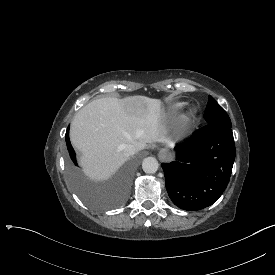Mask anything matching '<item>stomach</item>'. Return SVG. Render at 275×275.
I'll return each mask as SVG.
<instances>
[{
    "mask_svg": "<svg viewBox=\"0 0 275 275\" xmlns=\"http://www.w3.org/2000/svg\"><path fill=\"white\" fill-rule=\"evenodd\" d=\"M166 151H168L169 150V148H164Z\"/></svg>",
    "mask_w": 275,
    "mask_h": 275,
    "instance_id": "0dacf381",
    "label": "stomach"
}]
</instances>
